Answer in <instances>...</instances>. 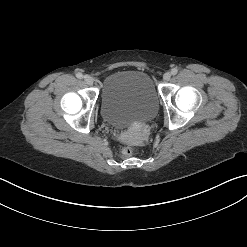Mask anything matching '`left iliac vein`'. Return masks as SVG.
<instances>
[{
    "mask_svg": "<svg viewBox=\"0 0 247 247\" xmlns=\"http://www.w3.org/2000/svg\"><path fill=\"white\" fill-rule=\"evenodd\" d=\"M171 76H172L171 72H166V73L164 74V76H163V80H164V81H169L170 78H171Z\"/></svg>",
    "mask_w": 247,
    "mask_h": 247,
    "instance_id": "left-iliac-vein-1",
    "label": "left iliac vein"
}]
</instances>
